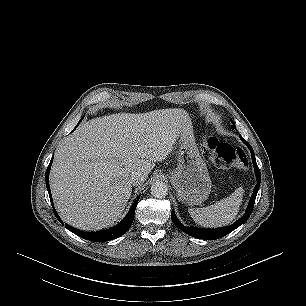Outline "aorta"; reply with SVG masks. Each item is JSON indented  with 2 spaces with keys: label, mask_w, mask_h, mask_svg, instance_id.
Returning a JSON list of instances; mask_svg holds the SVG:
<instances>
[{
  "label": "aorta",
  "mask_w": 306,
  "mask_h": 306,
  "mask_svg": "<svg viewBox=\"0 0 306 306\" xmlns=\"http://www.w3.org/2000/svg\"><path fill=\"white\" fill-rule=\"evenodd\" d=\"M167 185L162 181H155L151 186V194L155 198H164L167 195Z\"/></svg>",
  "instance_id": "762f6f07"
}]
</instances>
